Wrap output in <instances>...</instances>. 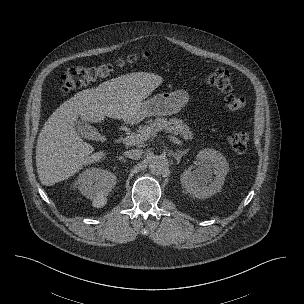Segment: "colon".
<instances>
[{"label":"colon","mask_w":304,"mask_h":304,"mask_svg":"<svg viewBox=\"0 0 304 304\" xmlns=\"http://www.w3.org/2000/svg\"><path fill=\"white\" fill-rule=\"evenodd\" d=\"M136 57L131 55L126 60L116 63L101 64L92 67H74L68 69L60 79L62 92H69L108 77L116 67H121L125 62L132 63ZM204 81L225 94L224 105L229 113H237L245 107L246 101L242 96L231 93L232 79L230 72L225 68H217L204 77ZM249 137L246 132L236 131L228 136L232 149L238 153L245 152Z\"/></svg>","instance_id":"colon-1"}]
</instances>
